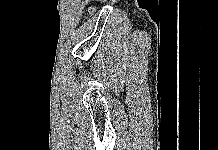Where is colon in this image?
I'll return each instance as SVG.
<instances>
[{
    "mask_svg": "<svg viewBox=\"0 0 218 150\" xmlns=\"http://www.w3.org/2000/svg\"><path fill=\"white\" fill-rule=\"evenodd\" d=\"M94 11L93 7L89 9V12L92 13Z\"/></svg>",
    "mask_w": 218,
    "mask_h": 150,
    "instance_id": "colon-1",
    "label": "colon"
}]
</instances>
